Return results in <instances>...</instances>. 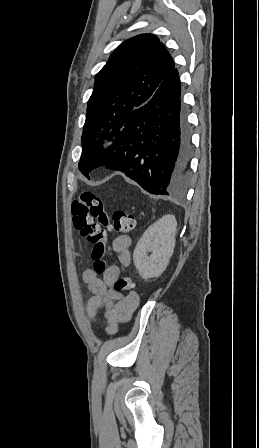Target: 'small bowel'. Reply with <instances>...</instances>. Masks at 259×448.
Wrapping results in <instances>:
<instances>
[{
    "label": "small bowel",
    "mask_w": 259,
    "mask_h": 448,
    "mask_svg": "<svg viewBox=\"0 0 259 448\" xmlns=\"http://www.w3.org/2000/svg\"><path fill=\"white\" fill-rule=\"evenodd\" d=\"M130 246L129 236L116 237L112 242V250L117 255V265L107 268L102 278H99V274L93 269H87L83 274V279L92 293L87 302L88 316L93 318L103 308L108 335L115 334L120 323L130 320L139 301L136 293L123 295L114 288V283L120 275V268L130 265Z\"/></svg>",
    "instance_id": "1"
}]
</instances>
